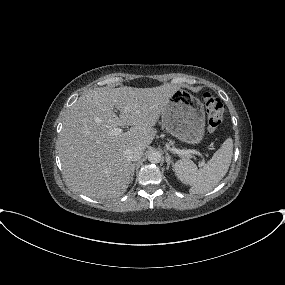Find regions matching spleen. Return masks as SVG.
Masks as SVG:
<instances>
[{
	"mask_svg": "<svg viewBox=\"0 0 285 285\" xmlns=\"http://www.w3.org/2000/svg\"><path fill=\"white\" fill-rule=\"evenodd\" d=\"M233 156V140L227 138L205 166L198 169L190 160L182 159L174 164L177 177L190 185V193L205 194L211 191L226 175Z\"/></svg>",
	"mask_w": 285,
	"mask_h": 285,
	"instance_id": "1",
	"label": "spleen"
}]
</instances>
